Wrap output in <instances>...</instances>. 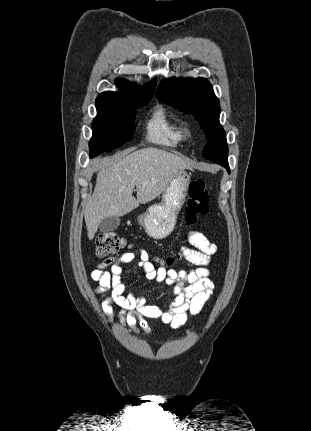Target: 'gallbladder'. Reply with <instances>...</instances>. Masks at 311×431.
Wrapping results in <instances>:
<instances>
[{
  "instance_id": "1",
  "label": "gallbladder",
  "mask_w": 311,
  "mask_h": 431,
  "mask_svg": "<svg viewBox=\"0 0 311 431\" xmlns=\"http://www.w3.org/2000/svg\"><path fill=\"white\" fill-rule=\"evenodd\" d=\"M118 225H120V217H104L99 225V229L103 233H110V231L117 229Z\"/></svg>"
}]
</instances>
